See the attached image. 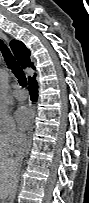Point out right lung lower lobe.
<instances>
[{"label":"right lung lower lobe","instance_id":"1","mask_svg":"<svg viewBox=\"0 0 89 203\" xmlns=\"http://www.w3.org/2000/svg\"><path fill=\"white\" fill-rule=\"evenodd\" d=\"M37 88H38L37 81H36L35 75H34L33 78L29 79V92H30L32 101H36L37 100V96H38V90H37Z\"/></svg>","mask_w":89,"mask_h":203}]
</instances>
